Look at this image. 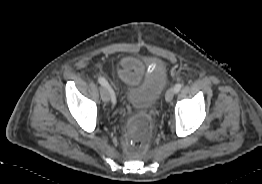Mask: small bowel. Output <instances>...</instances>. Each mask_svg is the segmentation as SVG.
Listing matches in <instances>:
<instances>
[{
  "label": "small bowel",
  "instance_id": "obj_1",
  "mask_svg": "<svg viewBox=\"0 0 262 184\" xmlns=\"http://www.w3.org/2000/svg\"><path fill=\"white\" fill-rule=\"evenodd\" d=\"M121 64L122 68L118 72L119 78L126 83L137 82L144 70L141 63L132 57H126L122 59Z\"/></svg>",
  "mask_w": 262,
  "mask_h": 184
}]
</instances>
